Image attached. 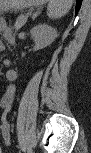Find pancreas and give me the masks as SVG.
Masks as SVG:
<instances>
[{
  "label": "pancreas",
  "mask_w": 91,
  "mask_h": 153,
  "mask_svg": "<svg viewBox=\"0 0 91 153\" xmlns=\"http://www.w3.org/2000/svg\"><path fill=\"white\" fill-rule=\"evenodd\" d=\"M27 18H28V15H21L17 18L15 22L16 31H18V29L26 23Z\"/></svg>",
  "instance_id": "obj_1"
}]
</instances>
